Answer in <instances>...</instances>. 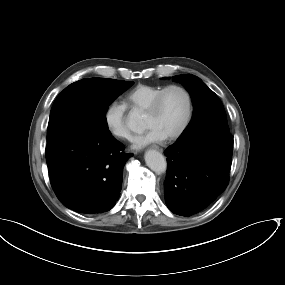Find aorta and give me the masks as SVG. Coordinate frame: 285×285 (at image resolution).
<instances>
[{"instance_id": "obj_1", "label": "aorta", "mask_w": 285, "mask_h": 285, "mask_svg": "<svg viewBox=\"0 0 285 285\" xmlns=\"http://www.w3.org/2000/svg\"><path fill=\"white\" fill-rule=\"evenodd\" d=\"M140 115L136 112H130L127 116V125L130 128H134L138 123H140ZM146 165L155 173H164L167 168V162L165 157L156 150H148L145 153Z\"/></svg>"}]
</instances>
